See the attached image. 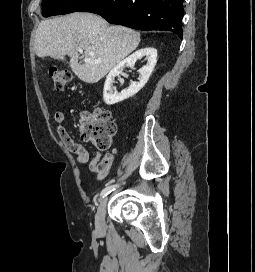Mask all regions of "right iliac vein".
<instances>
[{
    "label": "right iliac vein",
    "mask_w": 255,
    "mask_h": 272,
    "mask_svg": "<svg viewBox=\"0 0 255 272\" xmlns=\"http://www.w3.org/2000/svg\"><path fill=\"white\" fill-rule=\"evenodd\" d=\"M108 198L105 197L101 200L96 217H95V227L98 232H103L105 230V214H106V207H107Z\"/></svg>",
    "instance_id": "63e3f726"
}]
</instances>
